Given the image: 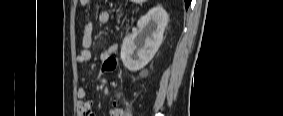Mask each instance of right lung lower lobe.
Listing matches in <instances>:
<instances>
[{
    "label": "right lung lower lobe",
    "mask_w": 283,
    "mask_h": 116,
    "mask_svg": "<svg viewBox=\"0 0 283 116\" xmlns=\"http://www.w3.org/2000/svg\"><path fill=\"white\" fill-rule=\"evenodd\" d=\"M185 1V4H186V9L189 7L190 3H191V0H184Z\"/></svg>",
    "instance_id": "obj_1"
}]
</instances>
